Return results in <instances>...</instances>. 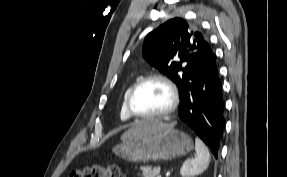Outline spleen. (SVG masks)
I'll return each mask as SVG.
<instances>
[{"instance_id": "1", "label": "spleen", "mask_w": 287, "mask_h": 177, "mask_svg": "<svg viewBox=\"0 0 287 177\" xmlns=\"http://www.w3.org/2000/svg\"><path fill=\"white\" fill-rule=\"evenodd\" d=\"M196 156L193 159L186 160L181 169L180 174L182 177H193L204 172L210 162V153L205 144L199 139H195Z\"/></svg>"}]
</instances>
